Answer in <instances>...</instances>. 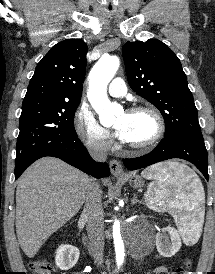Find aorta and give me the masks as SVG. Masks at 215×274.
Segmentation results:
<instances>
[{
    "label": "aorta",
    "instance_id": "1",
    "mask_svg": "<svg viewBox=\"0 0 215 274\" xmlns=\"http://www.w3.org/2000/svg\"><path fill=\"white\" fill-rule=\"evenodd\" d=\"M119 65L120 61L117 56H102L89 75L88 99L103 125L112 123L115 120V115L122 109L120 105L111 103L107 96V85L114 77ZM114 243L116 263L119 267L123 264L125 256L119 222H115L114 226Z\"/></svg>",
    "mask_w": 215,
    "mask_h": 274
}]
</instances>
